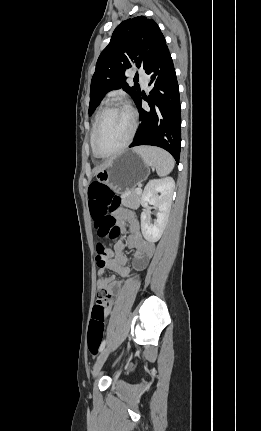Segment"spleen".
Segmentation results:
<instances>
[{
    "label": "spleen",
    "instance_id": "spleen-1",
    "mask_svg": "<svg viewBox=\"0 0 261 431\" xmlns=\"http://www.w3.org/2000/svg\"><path fill=\"white\" fill-rule=\"evenodd\" d=\"M144 162L156 169L159 176L168 175L174 168V159L166 151L156 147H137L134 149Z\"/></svg>",
    "mask_w": 261,
    "mask_h": 431
}]
</instances>
